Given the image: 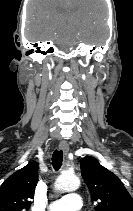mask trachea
<instances>
[{
	"mask_svg": "<svg viewBox=\"0 0 133 211\" xmlns=\"http://www.w3.org/2000/svg\"><path fill=\"white\" fill-rule=\"evenodd\" d=\"M63 161V152L55 150L52 155V165L55 170H59Z\"/></svg>",
	"mask_w": 133,
	"mask_h": 211,
	"instance_id": "obj_1",
	"label": "trachea"
}]
</instances>
